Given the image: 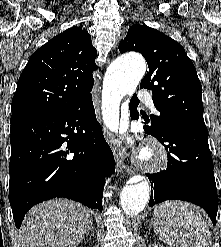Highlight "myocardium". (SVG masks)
<instances>
[{
	"label": "myocardium",
	"mask_w": 221,
	"mask_h": 247,
	"mask_svg": "<svg viewBox=\"0 0 221 247\" xmlns=\"http://www.w3.org/2000/svg\"><path fill=\"white\" fill-rule=\"evenodd\" d=\"M170 161L167 148L158 141H149L136 158L137 165L149 172L164 170Z\"/></svg>",
	"instance_id": "1"
}]
</instances>
